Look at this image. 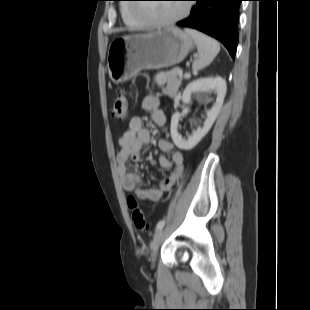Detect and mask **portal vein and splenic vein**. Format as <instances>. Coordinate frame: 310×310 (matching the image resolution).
Listing matches in <instances>:
<instances>
[{"instance_id":"1","label":"portal vein and splenic vein","mask_w":310,"mask_h":310,"mask_svg":"<svg viewBox=\"0 0 310 310\" xmlns=\"http://www.w3.org/2000/svg\"><path fill=\"white\" fill-rule=\"evenodd\" d=\"M177 74H178L179 76H182V75H183V71H182L181 69H178V70H177ZM186 76H187V78H189V77H190V74H186Z\"/></svg>"}]
</instances>
